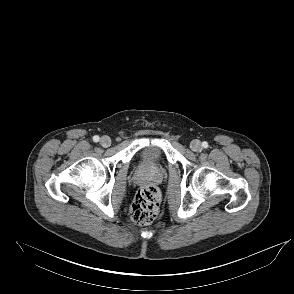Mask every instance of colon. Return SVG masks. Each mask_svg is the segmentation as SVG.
<instances>
[{"instance_id":"1","label":"colon","mask_w":294,"mask_h":294,"mask_svg":"<svg viewBox=\"0 0 294 294\" xmlns=\"http://www.w3.org/2000/svg\"><path fill=\"white\" fill-rule=\"evenodd\" d=\"M161 195L154 185L141 187L131 205L130 216L137 224H149L158 215Z\"/></svg>"}]
</instances>
